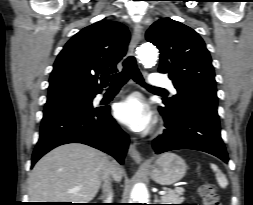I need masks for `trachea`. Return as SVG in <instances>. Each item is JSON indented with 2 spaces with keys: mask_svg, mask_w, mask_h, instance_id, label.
I'll use <instances>...</instances> for the list:
<instances>
[{
  "mask_svg": "<svg viewBox=\"0 0 253 205\" xmlns=\"http://www.w3.org/2000/svg\"><path fill=\"white\" fill-rule=\"evenodd\" d=\"M130 78L135 82L148 87L152 90L165 91L162 88L153 87L147 85L144 82V79L137 67L136 60L133 56L127 57L123 62V70L120 73L114 74L110 77V86L111 88H120L122 87Z\"/></svg>",
  "mask_w": 253,
  "mask_h": 205,
  "instance_id": "obj_1",
  "label": "trachea"
}]
</instances>
